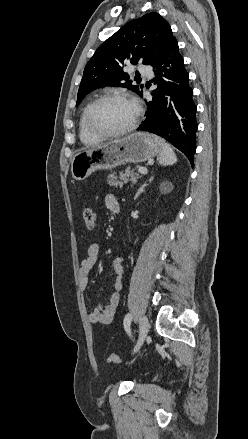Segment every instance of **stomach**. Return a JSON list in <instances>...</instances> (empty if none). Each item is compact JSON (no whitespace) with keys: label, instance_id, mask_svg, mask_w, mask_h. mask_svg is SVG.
I'll return each instance as SVG.
<instances>
[{"label":"stomach","instance_id":"0dacf381","mask_svg":"<svg viewBox=\"0 0 248 439\" xmlns=\"http://www.w3.org/2000/svg\"><path fill=\"white\" fill-rule=\"evenodd\" d=\"M165 143L154 135L137 132L77 152L71 161V174L83 181L98 169H112L123 163H139L160 155Z\"/></svg>","mask_w":248,"mask_h":439}]
</instances>
